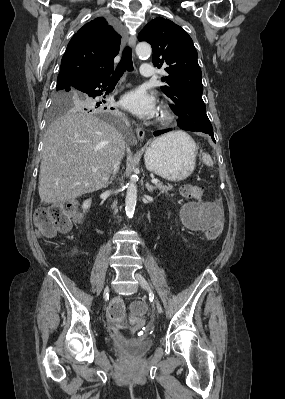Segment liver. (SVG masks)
Returning <instances> with one entry per match:
<instances>
[{
    "label": "liver",
    "mask_w": 285,
    "mask_h": 399,
    "mask_svg": "<svg viewBox=\"0 0 285 399\" xmlns=\"http://www.w3.org/2000/svg\"><path fill=\"white\" fill-rule=\"evenodd\" d=\"M120 141L124 143L113 126L87 112L73 109L55 121L43 147L41 202L62 203L106 187L117 157L124 155Z\"/></svg>",
    "instance_id": "obj_1"
}]
</instances>
